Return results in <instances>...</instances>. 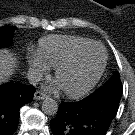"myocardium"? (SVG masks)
<instances>
[{
	"label": "myocardium",
	"instance_id": "obj_1",
	"mask_svg": "<svg viewBox=\"0 0 135 135\" xmlns=\"http://www.w3.org/2000/svg\"><path fill=\"white\" fill-rule=\"evenodd\" d=\"M92 46H99L104 53V59H103V63L100 67V69L98 70V72L81 88L77 89V90H69V89H65L63 88L64 92L66 93V95H68L69 97L72 98H77L80 96H83L84 94H86L87 92H89L101 79L105 68H106V64H107V60H108V53L106 48L104 47L103 44H101L100 42H95L93 41L92 43H89L87 45L82 46L81 48L77 49L74 53H72L69 57H67L66 59H64L63 61H61L60 63H58L55 66V77L58 79L60 73L70 67L71 65H73L78 58L90 47Z\"/></svg>",
	"mask_w": 135,
	"mask_h": 135
}]
</instances>
